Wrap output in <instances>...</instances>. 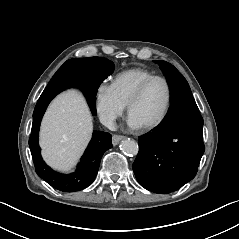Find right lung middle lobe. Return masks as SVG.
I'll return each instance as SVG.
<instances>
[{"label": "right lung middle lobe", "instance_id": "right-lung-middle-lobe-1", "mask_svg": "<svg viewBox=\"0 0 239 239\" xmlns=\"http://www.w3.org/2000/svg\"><path fill=\"white\" fill-rule=\"evenodd\" d=\"M95 58L97 60L101 61L102 63L109 64V65L113 66V62L109 61L106 58H100V57H95ZM75 59H77V58L70 59L68 62L74 61ZM63 84H64V82L61 79V72L58 70L55 73V75L53 76V78L51 79V81L49 82V84L47 85V87L45 88V90L43 91L42 95L55 91L59 86H61Z\"/></svg>", "mask_w": 239, "mask_h": 239}]
</instances>
